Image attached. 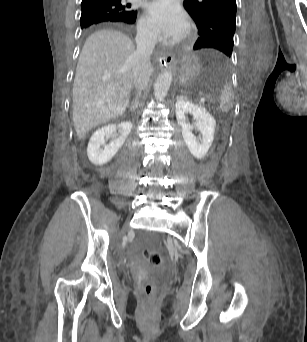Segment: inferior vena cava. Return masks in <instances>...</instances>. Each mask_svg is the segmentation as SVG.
<instances>
[{"instance_id": "obj_1", "label": "inferior vena cava", "mask_w": 307, "mask_h": 342, "mask_svg": "<svg viewBox=\"0 0 307 342\" xmlns=\"http://www.w3.org/2000/svg\"><path fill=\"white\" fill-rule=\"evenodd\" d=\"M137 50L132 54L133 84L136 90H145L153 72L150 58L157 42L156 32L146 28L136 36Z\"/></svg>"}]
</instances>
